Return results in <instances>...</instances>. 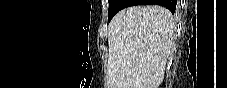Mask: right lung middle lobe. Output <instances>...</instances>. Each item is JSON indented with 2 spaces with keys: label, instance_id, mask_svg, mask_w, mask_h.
<instances>
[{
  "label": "right lung middle lobe",
  "instance_id": "right-lung-middle-lobe-1",
  "mask_svg": "<svg viewBox=\"0 0 227 88\" xmlns=\"http://www.w3.org/2000/svg\"><path fill=\"white\" fill-rule=\"evenodd\" d=\"M128 1L129 0H109L108 21H110L117 12L125 8Z\"/></svg>",
  "mask_w": 227,
  "mask_h": 88
}]
</instances>
